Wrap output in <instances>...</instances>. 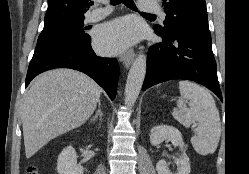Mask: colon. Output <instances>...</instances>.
Wrapping results in <instances>:
<instances>
[{"mask_svg": "<svg viewBox=\"0 0 249 174\" xmlns=\"http://www.w3.org/2000/svg\"><path fill=\"white\" fill-rule=\"evenodd\" d=\"M26 174H38V170L35 166H29L26 169Z\"/></svg>", "mask_w": 249, "mask_h": 174, "instance_id": "colon-1", "label": "colon"}]
</instances>
